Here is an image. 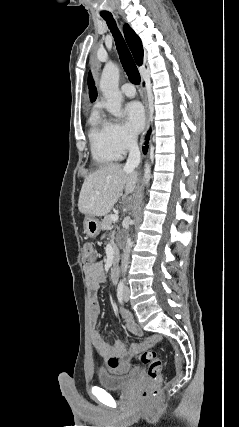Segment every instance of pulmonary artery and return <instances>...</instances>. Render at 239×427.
<instances>
[{"label":"pulmonary artery","mask_w":239,"mask_h":427,"mask_svg":"<svg viewBox=\"0 0 239 427\" xmlns=\"http://www.w3.org/2000/svg\"><path fill=\"white\" fill-rule=\"evenodd\" d=\"M122 93L127 97H134L135 96V88L130 83H125L121 87Z\"/></svg>","instance_id":"e3ab8cb5"}]
</instances>
